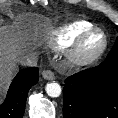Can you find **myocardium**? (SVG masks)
I'll list each match as a JSON object with an SVG mask.
<instances>
[{
	"label": "myocardium",
	"mask_w": 118,
	"mask_h": 118,
	"mask_svg": "<svg viewBox=\"0 0 118 118\" xmlns=\"http://www.w3.org/2000/svg\"><path fill=\"white\" fill-rule=\"evenodd\" d=\"M101 35L103 42L101 47L91 54H85L83 51L85 42L92 35ZM108 36L104 30L98 27L90 28L84 31L76 41L70 46V50L67 54V62L71 67L81 68L94 64L97 62L106 52L108 48Z\"/></svg>",
	"instance_id": "f54148a6"
}]
</instances>
